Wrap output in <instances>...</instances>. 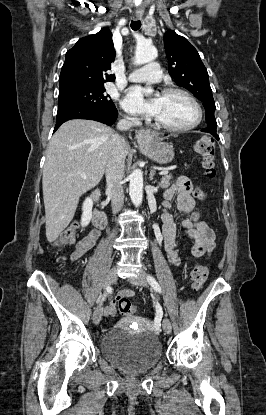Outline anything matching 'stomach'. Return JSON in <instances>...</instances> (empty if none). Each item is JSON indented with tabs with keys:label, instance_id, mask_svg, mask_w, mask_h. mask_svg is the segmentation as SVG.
Listing matches in <instances>:
<instances>
[{
	"label": "stomach",
	"instance_id": "stomach-1",
	"mask_svg": "<svg viewBox=\"0 0 266 415\" xmlns=\"http://www.w3.org/2000/svg\"><path fill=\"white\" fill-rule=\"evenodd\" d=\"M139 147L143 154L159 164L169 163L174 158L173 147L156 137L140 141Z\"/></svg>",
	"mask_w": 266,
	"mask_h": 415
}]
</instances>
